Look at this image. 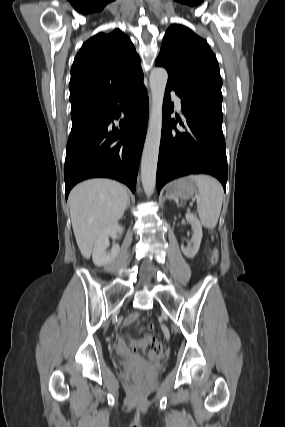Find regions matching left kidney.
<instances>
[{"mask_svg": "<svg viewBox=\"0 0 285 427\" xmlns=\"http://www.w3.org/2000/svg\"><path fill=\"white\" fill-rule=\"evenodd\" d=\"M186 220L192 227L193 235L191 244L188 247L181 245V250L187 258H193L197 254L202 240V226L193 214H186Z\"/></svg>", "mask_w": 285, "mask_h": 427, "instance_id": "5707ae66", "label": "left kidney"}]
</instances>
